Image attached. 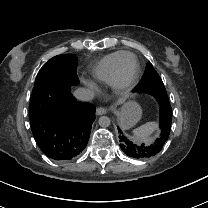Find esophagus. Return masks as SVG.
Masks as SVG:
<instances>
[{"label": "esophagus", "instance_id": "34e87169", "mask_svg": "<svg viewBox=\"0 0 208 208\" xmlns=\"http://www.w3.org/2000/svg\"><path fill=\"white\" fill-rule=\"evenodd\" d=\"M108 112V110L106 108L103 107H99L96 109V114L97 115H104Z\"/></svg>", "mask_w": 208, "mask_h": 208}]
</instances>
